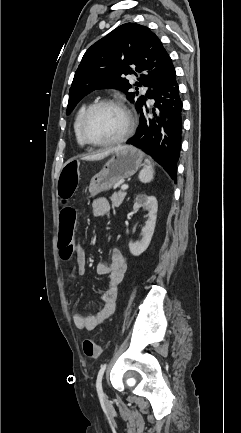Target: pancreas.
Segmentation results:
<instances>
[{
    "label": "pancreas",
    "instance_id": "pancreas-1",
    "mask_svg": "<svg viewBox=\"0 0 241 433\" xmlns=\"http://www.w3.org/2000/svg\"><path fill=\"white\" fill-rule=\"evenodd\" d=\"M125 196H126V192H117V193H114L110 197L112 206L113 207H119L122 204Z\"/></svg>",
    "mask_w": 241,
    "mask_h": 433
}]
</instances>
